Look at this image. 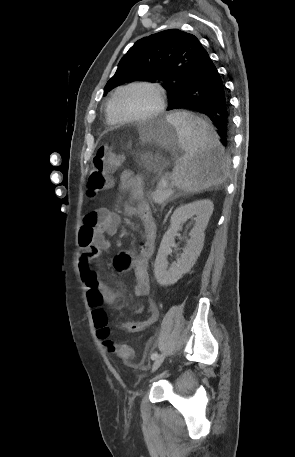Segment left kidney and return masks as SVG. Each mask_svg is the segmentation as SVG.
Listing matches in <instances>:
<instances>
[{
    "label": "left kidney",
    "instance_id": "5707ae66",
    "mask_svg": "<svg viewBox=\"0 0 295 457\" xmlns=\"http://www.w3.org/2000/svg\"><path fill=\"white\" fill-rule=\"evenodd\" d=\"M213 212V203L210 200H200L181 205L175 209L171 216L170 227L164 234L154 264V275L161 286L175 284L184 274L189 272L197 261L203 245L204 231ZM195 220L190 231V239L187 241L183 253L176 262L168 266L167 256L174 237L181 230V226L189 219Z\"/></svg>",
    "mask_w": 295,
    "mask_h": 457
}]
</instances>
